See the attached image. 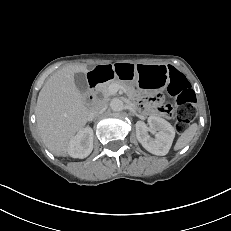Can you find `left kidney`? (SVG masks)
Instances as JSON below:
<instances>
[{"instance_id": "obj_1", "label": "left kidney", "mask_w": 231, "mask_h": 231, "mask_svg": "<svg viewBox=\"0 0 231 231\" xmlns=\"http://www.w3.org/2000/svg\"><path fill=\"white\" fill-rule=\"evenodd\" d=\"M150 129L155 131V138L148 134V127L143 121L136 123V137L142 146L150 153L163 156L169 152L175 137V130L165 119L158 116L148 118Z\"/></svg>"}]
</instances>
